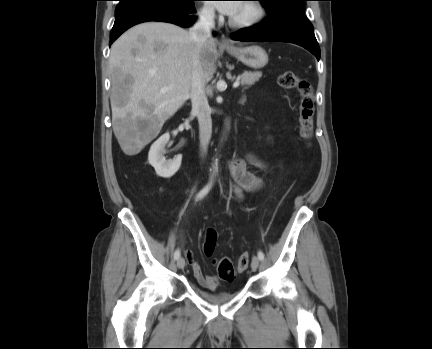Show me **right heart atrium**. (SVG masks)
<instances>
[{
    "label": "right heart atrium",
    "mask_w": 432,
    "mask_h": 349,
    "mask_svg": "<svg viewBox=\"0 0 432 349\" xmlns=\"http://www.w3.org/2000/svg\"><path fill=\"white\" fill-rule=\"evenodd\" d=\"M199 16H200V18H202L204 20H211L213 18V10H212V8L209 7V6H203L199 10Z\"/></svg>",
    "instance_id": "obj_1"
}]
</instances>
